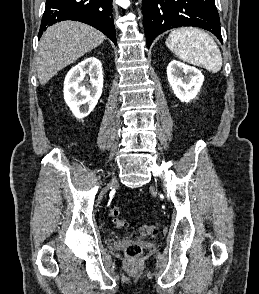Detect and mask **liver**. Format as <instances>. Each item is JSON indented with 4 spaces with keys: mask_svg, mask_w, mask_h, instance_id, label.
<instances>
[{
    "mask_svg": "<svg viewBox=\"0 0 259 294\" xmlns=\"http://www.w3.org/2000/svg\"><path fill=\"white\" fill-rule=\"evenodd\" d=\"M104 40L103 33L76 21H62L49 27L40 39L36 58L40 84L48 83L56 73Z\"/></svg>",
    "mask_w": 259,
    "mask_h": 294,
    "instance_id": "liver-1",
    "label": "liver"
}]
</instances>
